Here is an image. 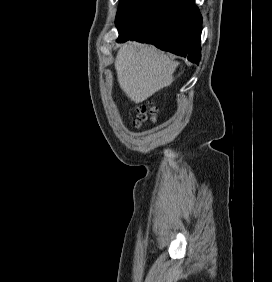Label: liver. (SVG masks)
<instances>
[{
  "label": "liver",
  "mask_w": 272,
  "mask_h": 282,
  "mask_svg": "<svg viewBox=\"0 0 272 282\" xmlns=\"http://www.w3.org/2000/svg\"><path fill=\"white\" fill-rule=\"evenodd\" d=\"M177 62L154 46L135 42L124 44L118 51L115 69L118 83L135 103H141L165 87L172 79Z\"/></svg>",
  "instance_id": "obj_1"
}]
</instances>
